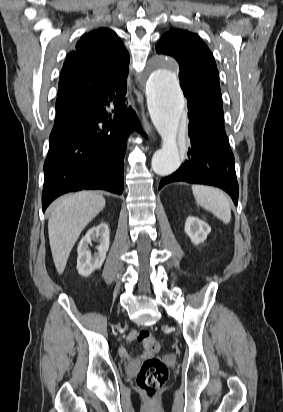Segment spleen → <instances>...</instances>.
Here are the masks:
<instances>
[{"label": "spleen", "mask_w": 283, "mask_h": 412, "mask_svg": "<svg viewBox=\"0 0 283 412\" xmlns=\"http://www.w3.org/2000/svg\"><path fill=\"white\" fill-rule=\"evenodd\" d=\"M192 191L198 205L214 214L223 223L230 222V202L222 191L203 185L192 186Z\"/></svg>", "instance_id": "spleen-1"}]
</instances>
